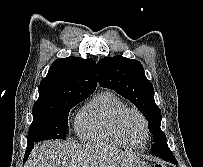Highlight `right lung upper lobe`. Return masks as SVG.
I'll return each instance as SVG.
<instances>
[{"label": "right lung upper lobe", "instance_id": "right-lung-upper-lobe-1", "mask_svg": "<svg viewBox=\"0 0 203 167\" xmlns=\"http://www.w3.org/2000/svg\"><path fill=\"white\" fill-rule=\"evenodd\" d=\"M96 85L97 70L93 59L59 58L42 79L39 98L33 107L50 106L70 98H87L95 91Z\"/></svg>", "mask_w": 203, "mask_h": 167}]
</instances>
